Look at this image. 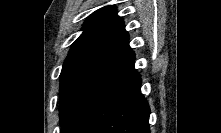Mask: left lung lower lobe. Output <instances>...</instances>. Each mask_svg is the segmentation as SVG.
I'll return each mask as SVG.
<instances>
[{
    "instance_id": "0a47b994",
    "label": "left lung lower lobe",
    "mask_w": 221,
    "mask_h": 133,
    "mask_svg": "<svg viewBox=\"0 0 221 133\" xmlns=\"http://www.w3.org/2000/svg\"><path fill=\"white\" fill-rule=\"evenodd\" d=\"M131 51L92 81L61 122L60 133H150V108Z\"/></svg>"
}]
</instances>
